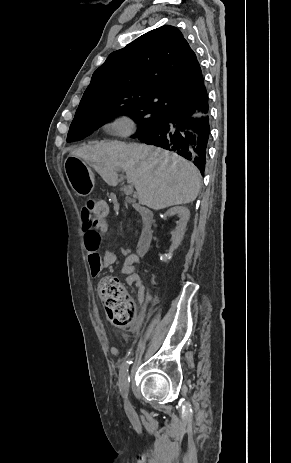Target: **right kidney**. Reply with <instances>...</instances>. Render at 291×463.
<instances>
[{
	"instance_id": "right-kidney-1",
	"label": "right kidney",
	"mask_w": 291,
	"mask_h": 463,
	"mask_svg": "<svg viewBox=\"0 0 291 463\" xmlns=\"http://www.w3.org/2000/svg\"><path fill=\"white\" fill-rule=\"evenodd\" d=\"M165 216L178 215L180 217L179 222L174 231H172V244L170 246V252H173L183 240L187 222L190 218V212L186 207L176 206L167 210Z\"/></svg>"
}]
</instances>
